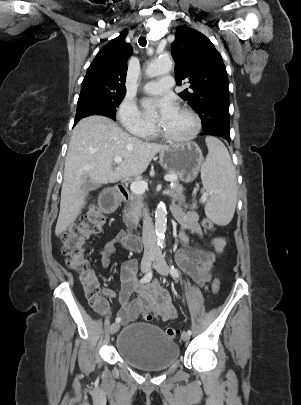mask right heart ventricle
Masks as SVG:
<instances>
[{
    "label": "right heart ventricle",
    "instance_id": "obj_1",
    "mask_svg": "<svg viewBox=\"0 0 301 405\" xmlns=\"http://www.w3.org/2000/svg\"><path fill=\"white\" fill-rule=\"evenodd\" d=\"M151 135H152V133L150 132L149 134L145 135V137H149V136H151Z\"/></svg>",
    "mask_w": 301,
    "mask_h": 405
}]
</instances>
